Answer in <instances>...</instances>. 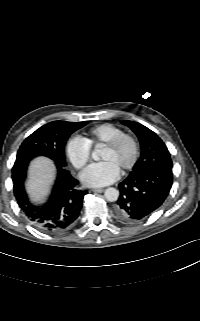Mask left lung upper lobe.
<instances>
[{
	"instance_id": "1",
	"label": "left lung upper lobe",
	"mask_w": 200,
	"mask_h": 321,
	"mask_svg": "<svg viewBox=\"0 0 200 321\" xmlns=\"http://www.w3.org/2000/svg\"><path fill=\"white\" fill-rule=\"evenodd\" d=\"M122 123L132 129L141 145V156L134 165L133 171L145 168L172 169L170 153L156 133L134 121H123Z\"/></svg>"
}]
</instances>
